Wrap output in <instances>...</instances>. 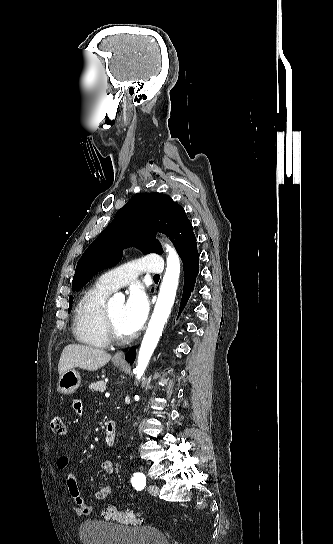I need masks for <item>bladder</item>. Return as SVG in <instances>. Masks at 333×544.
<instances>
[{"label":"bladder","instance_id":"obj_1","mask_svg":"<svg viewBox=\"0 0 333 544\" xmlns=\"http://www.w3.org/2000/svg\"><path fill=\"white\" fill-rule=\"evenodd\" d=\"M82 544H170L168 537L150 526H123L86 520L78 530Z\"/></svg>","mask_w":333,"mask_h":544}]
</instances>
